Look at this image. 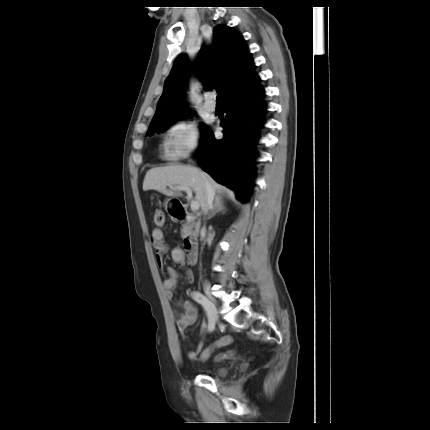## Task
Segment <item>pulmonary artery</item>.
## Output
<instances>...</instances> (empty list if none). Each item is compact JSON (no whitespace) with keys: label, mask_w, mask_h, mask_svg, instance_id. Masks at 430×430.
Segmentation results:
<instances>
[{"label":"pulmonary artery","mask_w":430,"mask_h":430,"mask_svg":"<svg viewBox=\"0 0 430 430\" xmlns=\"http://www.w3.org/2000/svg\"><path fill=\"white\" fill-rule=\"evenodd\" d=\"M204 107L207 111H210V112H213L216 110V104L210 97L206 98Z\"/></svg>","instance_id":"pulmonary-artery-1"}]
</instances>
